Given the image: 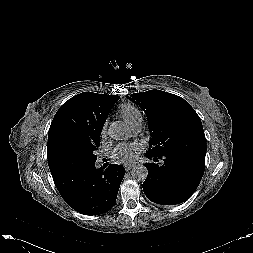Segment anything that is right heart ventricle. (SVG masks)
Listing matches in <instances>:
<instances>
[{"label":"right heart ventricle","mask_w":253,"mask_h":253,"mask_svg":"<svg viewBox=\"0 0 253 253\" xmlns=\"http://www.w3.org/2000/svg\"><path fill=\"white\" fill-rule=\"evenodd\" d=\"M118 114L130 126L142 121L139 109L128 103L122 104L119 107Z\"/></svg>","instance_id":"right-heart-ventricle-1"}]
</instances>
